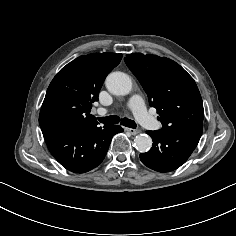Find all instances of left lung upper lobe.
<instances>
[{
    "label": "left lung upper lobe",
    "mask_w": 236,
    "mask_h": 236,
    "mask_svg": "<svg viewBox=\"0 0 236 236\" xmlns=\"http://www.w3.org/2000/svg\"><path fill=\"white\" fill-rule=\"evenodd\" d=\"M125 63L155 107L162 129H203L202 98L193 78L176 62L157 55L133 53Z\"/></svg>",
    "instance_id": "obj_1"
}]
</instances>
